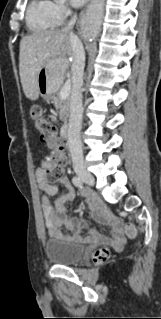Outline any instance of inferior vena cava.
Segmentation results:
<instances>
[{
    "label": "inferior vena cava",
    "instance_id": "1",
    "mask_svg": "<svg viewBox=\"0 0 161 319\" xmlns=\"http://www.w3.org/2000/svg\"><path fill=\"white\" fill-rule=\"evenodd\" d=\"M76 21L74 15L63 31L70 32V40L73 52L72 79L73 90L70 100V118L68 126V147L71 154L74 170L84 169L82 142L80 131L82 126L83 106L80 89L83 85V73L85 67V51L80 39L72 32Z\"/></svg>",
    "mask_w": 161,
    "mask_h": 319
}]
</instances>
